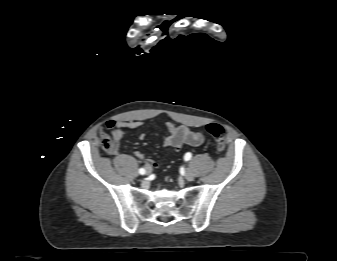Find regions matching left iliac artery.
Segmentation results:
<instances>
[{
	"label": "left iliac artery",
	"mask_w": 337,
	"mask_h": 261,
	"mask_svg": "<svg viewBox=\"0 0 337 261\" xmlns=\"http://www.w3.org/2000/svg\"><path fill=\"white\" fill-rule=\"evenodd\" d=\"M192 157V154L190 152L186 153L184 156L185 161H189Z\"/></svg>",
	"instance_id": "left-iliac-artery-1"
}]
</instances>
